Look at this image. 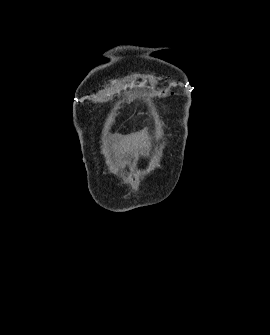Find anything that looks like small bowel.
<instances>
[{"label": "small bowel", "instance_id": "c3829d8e", "mask_svg": "<svg viewBox=\"0 0 270 335\" xmlns=\"http://www.w3.org/2000/svg\"><path fill=\"white\" fill-rule=\"evenodd\" d=\"M140 140H138L133 147H131L127 153L129 154L133 163L140 162L148 156L149 149V137L146 132H142L139 135Z\"/></svg>", "mask_w": 270, "mask_h": 335}]
</instances>
